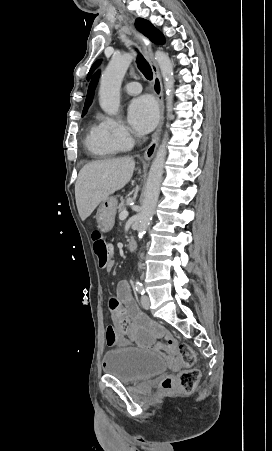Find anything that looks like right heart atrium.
I'll use <instances>...</instances> for the list:
<instances>
[{
  "instance_id": "d8ad5b80",
  "label": "right heart atrium",
  "mask_w": 272,
  "mask_h": 451,
  "mask_svg": "<svg viewBox=\"0 0 272 451\" xmlns=\"http://www.w3.org/2000/svg\"><path fill=\"white\" fill-rule=\"evenodd\" d=\"M102 125L118 146L123 147L128 144L130 140L129 132L120 121L106 117Z\"/></svg>"
}]
</instances>
